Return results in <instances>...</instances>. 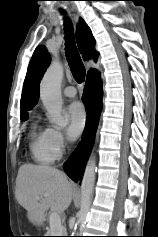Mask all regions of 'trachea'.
<instances>
[{
    "instance_id": "1",
    "label": "trachea",
    "mask_w": 158,
    "mask_h": 237,
    "mask_svg": "<svg viewBox=\"0 0 158 237\" xmlns=\"http://www.w3.org/2000/svg\"><path fill=\"white\" fill-rule=\"evenodd\" d=\"M64 29H65V38H66V47H65V53L66 58L68 61V64L70 66L71 72L73 74L74 79L81 83L85 79V67L82 63V60L80 58L79 52L77 50V47L75 45L74 41V34H73V28L71 23L68 20H65L64 22Z\"/></svg>"
}]
</instances>
